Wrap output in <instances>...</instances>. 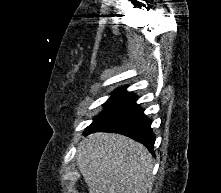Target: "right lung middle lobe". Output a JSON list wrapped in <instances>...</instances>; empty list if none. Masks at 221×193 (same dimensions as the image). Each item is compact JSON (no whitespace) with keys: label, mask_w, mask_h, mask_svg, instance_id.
Here are the masks:
<instances>
[{"label":"right lung middle lobe","mask_w":221,"mask_h":193,"mask_svg":"<svg viewBox=\"0 0 221 193\" xmlns=\"http://www.w3.org/2000/svg\"><path fill=\"white\" fill-rule=\"evenodd\" d=\"M136 98L137 96L135 94L127 92L125 88L117 89L115 92L112 93L110 99L104 104V110L97 117L94 118V122L101 120L109 114L122 109L124 106L134 101Z\"/></svg>","instance_id":"obj_1"}]
</instances>
